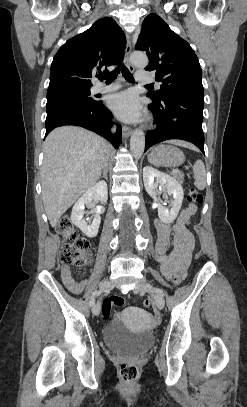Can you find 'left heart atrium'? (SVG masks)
I'll return each instance as SVG.
<instances>
[{
	"label": "left heart atrium",
	"mask_w": 247,
	"mask_h": 407,
	"mask_svg": "<svg viewBox=\"0 0 247 407\" xmlns=\"http://www.w3.org/2000/svg\"><path fill=\"white\" fill-rule=\"evenodd\" d=\"M108 104L115 115L125 121H135L142 114L136 95L130 91L112 95L108 100Z\"/></svg>",
	"instance_id": "39dd6f15"
}]
</instances>
